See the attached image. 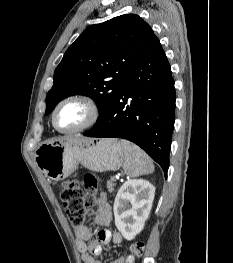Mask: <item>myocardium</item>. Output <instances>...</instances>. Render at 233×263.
<instances>
[{
  "label": "myocardium",
  "mask_w": 233,
  "mask_h": 263,
  "mask_svg": "<svg viewBox=\"0 0 233 263\" xmlns=\"http://www.w3.org/2000/svg\"><path fill=\"white\" fill-rule=\"evenodd\" d=\"M69 102H80V103H82L88 109L89 115H88L87 120L81 126L75 128V129H72V130H63V129L58 127L57 122H56V116H57L59 109L64 104L69 103ZM99 116H100V109H99L97 102L94 99H92L91 97H89L87 95L75 94V95H71V96H68V97L62 99L56 105V107L53 111V114H52V124H53L54 128L60 133L75 134V133L82 132V131L92 127L97 122V120L99 119Z\"/></svg>",
  "instance_id": "1"
}]
</instances>
